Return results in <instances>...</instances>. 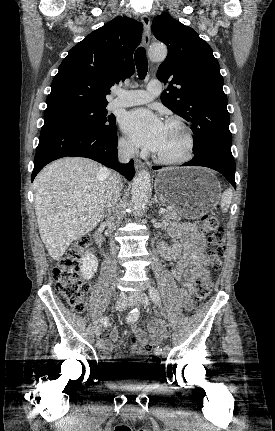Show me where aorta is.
<instances>
[{"instance_id": "1", "label": "aorta", "mask_w": 275, "mask_h": 431, "mask_svg": "<svg viewBox=\"0 0 275 431\" xmlns=\"http://www.w3.org/2000/svg\"><path fill=\"white\" fill-rule=\"evenodd\" d=\"M167 56V48L164 45H152L149 48V57L152 61H163ZM151 191L150 175L146 170L136 174L133 179L131 202L136 214L146 207Z\"/></svg>"}]
</instances>
